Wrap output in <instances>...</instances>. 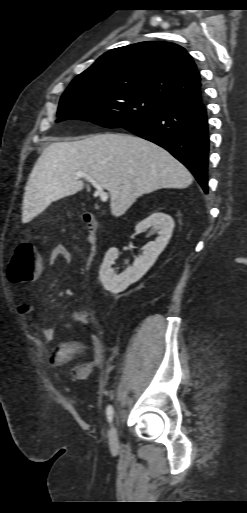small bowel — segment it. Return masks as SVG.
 I'll return each instance as SVG.
<instances>
[{
    "instance_id": "small-bowel-1",
    "label": "small bowel",
    "mask_w": 247,
    "mask_h": 513,
    "mask_svg": "<svg viewBox=\"0 0 247 513\" xmlns=\"http://www.w3.org/2000/svg\"><path fill=\"white\" fill-rule=\"evenodd\" d=\"M72 261L71 251L63 245L56 246L49 256L50 265L54 266L59 262L70 263ZM19 313L27 318L33 320V327L36 332L42 337L45 344L52 343L55 339V330L52 327L44 325L42 322L36 321L32 317V310L27 302H22L18 306ZM73 319L83 325L91 323L89 314L85 311H77L73 314ZM88 351L89 359L83 363L77 364L71 368V374L76 379H86L98 367H100L104 360V345L102 340L97 335H90L88 342L83 343L78 340H67L56 345L49 356L48 362L51 366L60 367L77 355ZM116 349H113L115 352Z\"/></svg>"
}]
</instances>
